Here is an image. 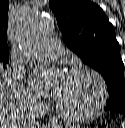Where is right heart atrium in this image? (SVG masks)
<instances>
[{
  "label": "right heart atrium",
  "mask_w": 125,
  "mask_h": 128,
  "mask_svg": "<svg viewBox=\"0 0 125 128\" xmlns=\"http://www.w3.org/2000/svg\"><path fill=\"white\" fill-rule=\"evenodd\" d=\"M13 89L20 108L29 112H38L43 108L44 104L40 98L26 89L19 79H15Z\"/></svg>",
  "instance_id": "d8ad5b80"
}]
</instances>
